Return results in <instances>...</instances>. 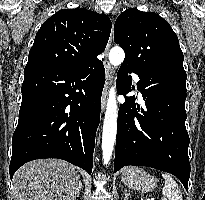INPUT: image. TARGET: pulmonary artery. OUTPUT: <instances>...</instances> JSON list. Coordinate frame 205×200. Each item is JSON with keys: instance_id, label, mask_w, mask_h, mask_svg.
Masks as SVG:
<instances>
[{"instance_id": "e3ab8cb5", "label": "pulmonary artery", "mask_w": 205, "mask_h": 200, "mask_svg": "<svg viewBox=\"0 0 205 200\" xmlns=\"http://www.w3.org/2000/svg\"><path fill=\"white\" fill-rule=\"evenodd\" d=\"M132 77L135 82H139V77L136 74H132Z\"/></svg>"}]
</instances>
